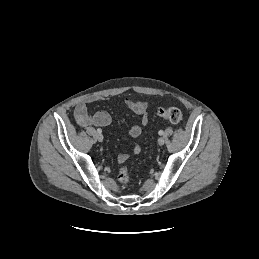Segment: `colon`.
<instances>
[{"label": "colon", "instance_id": "1", "mask_svg": "<svg viewBox=\"0 0 259 259\" xmlns=\"http://www.w3.org/2000/svg\"><path fill=\"white\" fill-rule=\"evenodd\" d=\"M158 115L162 119H164L172 124L180 125L183 122L182 112L180 111V109H178L176 107L161 108L158 110ZM118 180L123 185H127L129 183L130 175H129L127 168L121 167L119 169Z\"/></svg>", "mask_w": 259, "mask_h": 259}]
</instances>
